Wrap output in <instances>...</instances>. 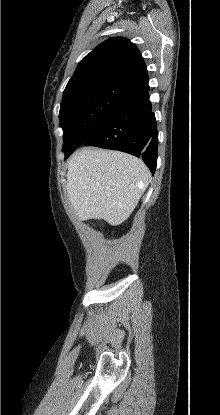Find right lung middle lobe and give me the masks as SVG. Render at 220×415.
I'll list each match as a JSON object with an SVG mask.
<instances>
[{"label": "right lung middle lobe", "instance_id": "obj_1", "mask_svg": "<svg viewBox=\"0 0 220 415\" xmlns=\"http://www.w3.org/2000/svg\"><path fill=\"white\" fill-rule=\"evenodd\" d=\"M138 90L139 87L112 77L65 88L59 113L63 129L62 150L85 143L110 113Z\"/></svg>", "mask_w": 220, "mask_h": 415}]
</instances>
